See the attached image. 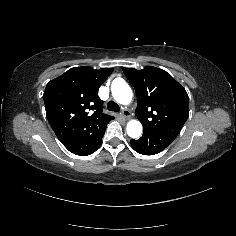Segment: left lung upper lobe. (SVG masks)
Listing matches in <instances>:
<instances>
[{
  "instance_id": "5c2ea615",
  "label": "left lung upper lobe",
  "mask_w": 236,
  "mask_h": 236,
  "mask_svg": "<svg viewBox=\"0 0 236 236\" xmlns=\"http://www.w3.org/2000/svg\"><path fill=\"white\" fill-rule=\"evenodd\" d=\"M122 70L135 88L138 100L135 115L143 131L177 136L189 115L185 89L169 73L156 67Z\"/></svg>"
}]
</instances>
